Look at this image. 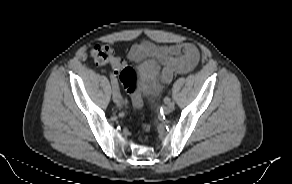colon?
Returning a JSON list of instances; mask_svg holds the SVG:
<instances>
[{
  "instance_id": "5ec220e1",
  "label": "colon",
  "mask_w": 292,
  "mask_h": 184,
  "mask_svg": "<svg viewBox=\"0 0 292 184\" xmlns=\"http://www.w3.org/2000/svg\"><path fill=\"white\" fill-rule=\"evenodd\" d=\"M91 56L97 64L110 63L115 57L113 50L106 45L95 46L91 51ZM135 77L136 72L131 67L125 66L119 72L120 81L131 96L133 107L136 110H140L142 108V99L135 86ZM143 129L145 131L150 130V125L144 123Z\"/></svg>"
}]
</instances>
